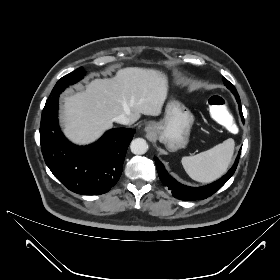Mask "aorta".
Segmentation results:
<instances>
[{
  "label": "aorta",
  "mask_w": 280,
  "mask_h": 280,
  "mask_svg": "<svg viewBox=\"0 0 280 280\" xmlns=\"http://www.w3.org/2000/svg\"><path fill=\"white\" fill-rule=\"evenodd\" d=\"M130 149L133 154L142 155L147 152L148 145L146 140H144L143 138H136L132 140L130 144Z\"/></svg>",
  "instance_id": "obj_1"
}]
</instances>
